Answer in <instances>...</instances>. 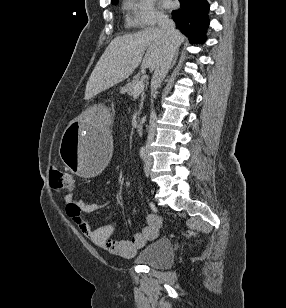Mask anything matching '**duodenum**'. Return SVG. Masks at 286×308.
Returning <instances> with one entry per match:
<instances>
[{"label": "duodenum", "mask_w": 286, "mask_h": 308, "mask_svg": "<svg viewBox=\"0 0 286 308\" xmlns=\"http://www.w3.org/2000/svg\"><path fill=\"white\" fill-rule=\"evenodd\" d=\"M144 131H145V123L143 121L138 122L136 125V132L141 135L144 133Z\"/></svg>", "instance_id": "duodenum-1"}]
</instances>
